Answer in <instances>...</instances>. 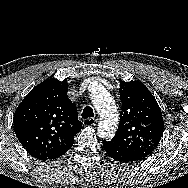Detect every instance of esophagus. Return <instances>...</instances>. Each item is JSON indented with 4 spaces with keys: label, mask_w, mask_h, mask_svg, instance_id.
I'll return each mask as SVG.
<instances>
[{
    "label": "esophagus",
    "mask_w": 188,
    "mask_h": 188,
    "mask_svg": "<svg viewBox=\"0 0 188 188\" xmlns=\"http://www.w3.org/2000/svg\"><path fill=\"white\" fill-rule=\"evenodd\" d=\"M97 124V119L95 118H86L83 120L84 126H95Z\"/></svg>",
    "instance_id": "34e87169"
}]
</instances>
